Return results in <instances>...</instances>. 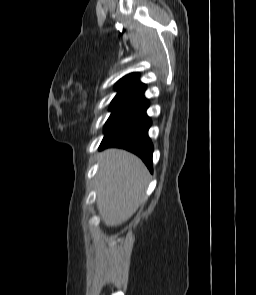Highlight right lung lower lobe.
<instances>
[{
    "label": "right lung lower lobe",
    "instance_id": "obj_1",
    "mask_svg": "<svg viewBox=\"0 0 256 295\" xmlns=\"http://www.w3.org/2000/svg\"><path fill=\"white\" fill-rule=\"evenodd\" d=\"M149 102L144 95L132 100L125 109L104 129V138L100 149L120 147L138 155L149 168L152 167L153 145L148 137L151 125L146 114Z\"/></svg>",
    "mask_w": 256,
    "mask_h": 295
}]
</instances>
